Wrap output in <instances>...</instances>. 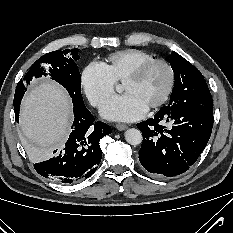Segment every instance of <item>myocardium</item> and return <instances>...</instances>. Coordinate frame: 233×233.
Instances as JSON below:
<instances>
[{
  "label": "myocardium",
  "instance_id": "obj_1",
  "mask_svg": "<svg viewBox=\"0 0 233 233\" xmlns=\"http://www.w3.org/2000/svg\"><path fill=\"white\" fill-rule=\"evenodd\" d=\"M155 65H162L168 73V83H167V87L164 91V93L162 94V96L153 104H151L148 107V110H153L156 108L161 107L162 105H164L168 99L170 98L173 89H174V85H175V71L173 66L164 59H152L150 61H147L145 63L140 64L138 67H136L130 74H128L125 79L123 80V82H127V81H137L139 79H141L144 74L153 66Z\"/></svg>",
  "mask_w": 233,
  "mask_h": 233
}]
</instances>
